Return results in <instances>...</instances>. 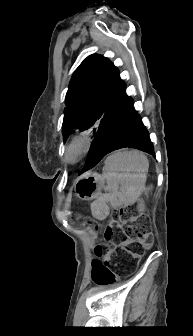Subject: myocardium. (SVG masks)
<instances>
[{
  "instance_id": "f54148a6",
  "label": "myocardium",
  "mask_w": 193,
  "mask_h": 336,
  "mask_svg": "<svg viewBox=\"0 0 193 336\" xmlns=\"http://www.w3.org/2000/svg\"><path fill=\"white\" fill-rule=\"evenodd\" d=\"M90 149V139L86 135L74 137L65 149V159L69 163L81 160Z\"/></svg>"
}]
</instances>
